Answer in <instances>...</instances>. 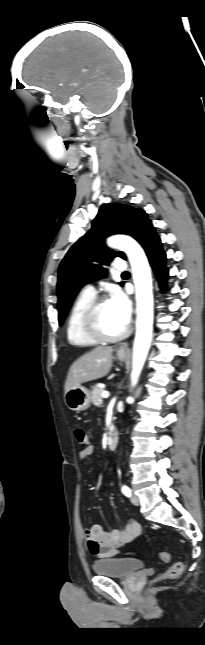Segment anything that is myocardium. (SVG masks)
Listing matches in <instances>:
<instances>
[{"mask_svg": "<svg viewBox=\"0 0 205 645\" xmlns=\"http://www.w3.org/2000/svg\"><path fill=\"white\" fill-rule=\"evenodd\" d=\"M106 297L95 298L87 307L83 315V327L88 336L97 342H116L122 340L129 334V327L115 335H109L103 332L99 326V311L101 307L108 302Z\"/></svg>", "mask_w": 205, "mask_h": 645, "instance_id": "myocardium-1", "label": "myocardium"}]
</instances>
